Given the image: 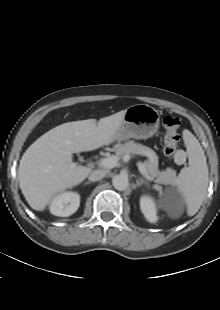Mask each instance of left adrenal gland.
I'll list each match as a JSON object with an SVG mask.
<instances>
[{"instance_id":"a2214340","label":"left adrenal gland","mask_w":220,"mask_h":310,"mask_svg":"<svg viewBox=\"0 0 220 310\" xmlns=\"http://www.w3.org/2000/svg\"><path fill=\"white\" fill-rule=\"evenodd\" d=\"M147 181H145L144 179H142V178H138L137 180H136V186L137 187H140V186H142V185H146L147 186Z\"/></svg>"}]
</instances>
